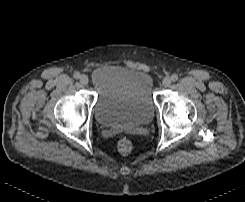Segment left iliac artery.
I'll use <instances>...</instances> for the list:
<instances>
[{"instance_id":"left-iliac-artery-1","label":"left iliac artery","mask_w":245,"mask_h":202,"mask_svg":"<svg viewBox=\"0 0 245 202\" xmlns=\"http://www.w3.org/2000/svg\"><path fill=\"white\" fill-rule=\"evenodd\" d=\"M171 79H172V81H177L178 80V76L176 74H173L171 76Z\"/></svg>"}]
</instances>
